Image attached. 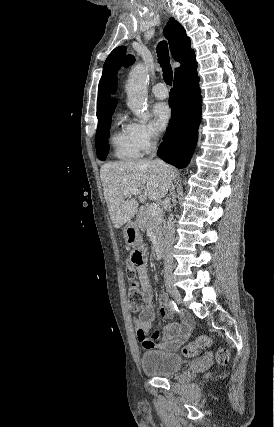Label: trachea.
Listing matches in <instances>:
<instances>
[{"mask_svg": "<svg viewBox=\"0 0 274 427\" xmlns=\"http://www.w3.org/2000/svg\"><path fill=\"white\" fill-rule=\"evenodd\" d=\"M156 50H157L158 62L162 67L163 78L165 80V83L167 85H172L173 72L169 62V51H168L167 42L165 41L159 42Z\"/></svg>", "mask_w": 274, "mask_h": 427, "instance_id": "trachea-1", "label": "trachea"}]
</instances>
